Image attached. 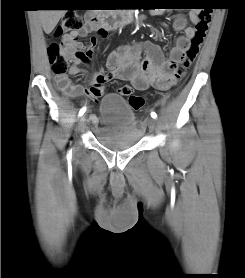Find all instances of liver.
Listing matches in <instances>:
<instances>
[{
	"instance_id": "6515ba94",
	"label": "liver",
	"mask_w": 245,
	"mask_h": 278,
	"mask_svg": "<svg viewBox=\"0 0 245 278\" xmlns=\"http://www.w3.org/2000/svg\"><path fill=\"white\" fill-rule=\"evenodd\" d=\"M65 12L66 10H39V19L46 34L54 30Z\"/></svg>"
}]
</instances>
